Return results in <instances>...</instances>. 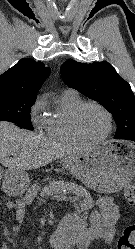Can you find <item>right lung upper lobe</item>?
I'll list each match as a JSON object with an SVG mask.
<instances>
[{
	"label": "right lung upper lobe",
	"mask_w": 135,
	"mask_h": 249,
	"mask_svg": "<svg viewBox=\"0 0 135 249\" xmlns=\"http://www.w3.org/2000/svg\"><path fill=\"white\" fill-rule=\"evenodd\" d=\"M50 68L31 58H23L0 75V94L35 97L48 78Z\"/></svg>",
	"instance_id": "cb5924a9"
}]
</instances>
